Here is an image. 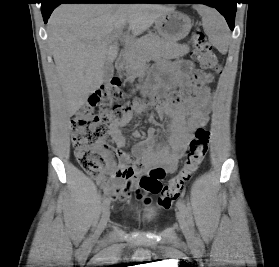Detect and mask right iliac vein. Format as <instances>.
<instances>
[{"label":"right iliac vein","instance_id":"right-iliac-vein-1","mask_svg":"<svg viewBox=\"0 0 279 267\" xmlns=\"http://www.w3.org/2000/svg\"><path fill=\"white\" fill-rule=\"evenodd\" d=\"M109 216H110V211L107 208L104 212L103 215L95 229V232L93 234V239L96 240L99 238V236L101 235L102 231L104 230V228L106 227V224L109 220Z\"/></svg>","mask_w":279,"mask_h":267}]
</instances>
